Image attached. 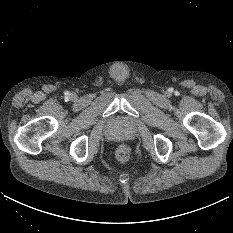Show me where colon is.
<instances>
[{"label": "colon", "instance_id": "obj_1", "mask_svg": "<svg viewBox=\"0 0 233 233\" xmlns=\"http://www.w3.org/2000/svg\"><path fill=\"white\" fill-rule=\"evenodd\" d=\"M115 156L118 161L127 162L131 157L130 148L125 144L119 145L116 149Z\"/></svg>", "mask_w": 233, "mask_h": 233}]
</instances>
